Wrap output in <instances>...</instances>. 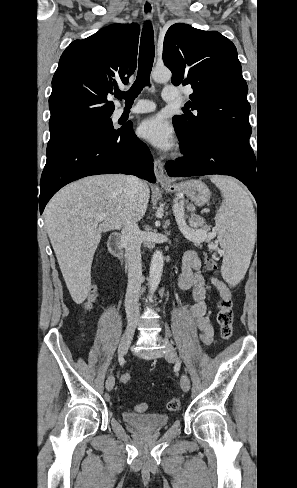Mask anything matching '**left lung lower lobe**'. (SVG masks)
Segmentation results:
<instances>
[{
  "label": "left lung lower lobe",
  "mask_w": 297,
  "mask_h": 488,
  "mask_svg": "<svg viewBox=\"0 0 297 488\" xmlns=\"http://www.w3.org/2000/svg\"><path fill=\"white\" fill-rule=\"evenodd\" d=\"M181 149L184 156L165 165L169 176H233L248 187L258 202V177L253 151L217 141L200 142L189 147L181 144Z\"/></svg>",
  "instance_id": "obj_1"
}]
</instances>
